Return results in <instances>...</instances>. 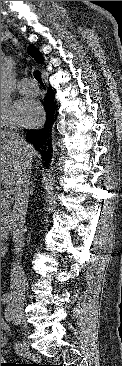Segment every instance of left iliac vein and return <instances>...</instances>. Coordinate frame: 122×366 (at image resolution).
I'll return each mask as SVG.
<instances>
[{
  "mask_svg": "<svg viewBox=\"0 0 122 366\" xmlns=\"http://www.w3.org/2000/svg\"><path fill=\"white\" fill-rule=\"evenodd\" d=\"M7 318V317H6ZM10 319L14 322V324H18L19 322L17 321V318H16V313L15 311L12 312V314L10 316H8L7 320Z\"/></svg>",
  "mask_w": 122,
  "mask_h": 366,
  "instance_id": "4c4485c4",
  "label": "left iliac vein"
}]
</instances>
